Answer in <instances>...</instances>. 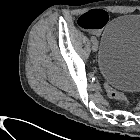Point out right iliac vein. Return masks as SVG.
<instances>
[{
	"label": "right iliac vein",
	"instance_id": "obj_1",
	"mask_svg": "<svg viewBox=\"0 0 140 140\" xmlns=\"http://www.w3.org/2000/svg\"><path fill=\"white\" fill-rule=\"evenodd\" d=\"M92 50H93V51H96V50H97V43H96V42L93 43V45H92Z\"/></svg>",
	"mask_w": 140,
	"mask_h": 140
}]
</instances>
